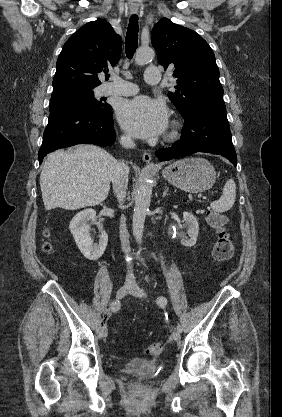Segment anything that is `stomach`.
Here are the masks:
<instances>
[{
  "mask_svg": "<svg viewBox=\"0 0 282 417\" xmlns=\"http://www.w3.org/2000/svg\"><path fill=\"white\" fill-rule=\"evenodd\" d=\"M162 174L170 184L186 192H204L216 182V170L206 158H181L165 166Z\"/></svg>",
  "mask_w": 282,
  "mask_h": 417,
  "instance_id": "obj_1",
  "label": "stomach"
}]
</instances>
